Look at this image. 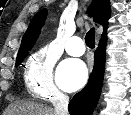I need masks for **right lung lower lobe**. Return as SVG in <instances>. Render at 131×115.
<instances>
[{"mask_svg": "<svg viewBox=\"0 0 131 115\" xmlns=\"http://www.w3.org/2000/svg\"><path fill=\"white\" fill-rule=\"evenodd\" d=\"M107 38H101L94 55V67L88 84L77 93L68 106L71 115H92L97 105L104 76Z\"/></svg>", "mask_w": 131, "mask_h": 115, "instance_id": "obj_1", "label": "right lung lower lobe"}]
</instances>
